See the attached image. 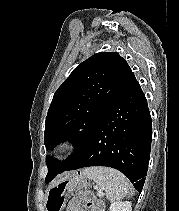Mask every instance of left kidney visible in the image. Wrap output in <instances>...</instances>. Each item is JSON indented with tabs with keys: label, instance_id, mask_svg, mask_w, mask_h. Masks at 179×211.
I'll use <instances>...</instances> for the list:
<instances>
[{
	"label": "left kidney",
	"instance_id": "left-kidney-1",
	"mask_svg": "<svg viewBox=\"0 0 179 211\" xmlns=\"http://www.w3.org/2000/svg\"><path fill=\"white\" fill-rule=\"evenodd\" d=\"M109 211H132L131 202H114L111 204Z\"/></svg>",
	"mask_w": 179,
	"mask_h": 211
}]
</instances>
